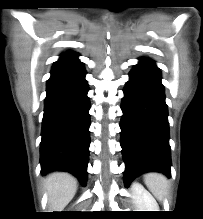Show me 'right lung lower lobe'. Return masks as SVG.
<instances>
[{
	"instance_id": "98d812e1",
	"label": "right lung lower lobe",
	"mask_w": 203,
	"mask_h": 219,
	"mask_svg": "<svg viewBox=\"0 0 203 219\" xmlns=\"http://www.w3.org/2000/svg\"><path fill=\"white\" fill-rule=\"evenodd\" d=\"M85 75L77 56L54 63L47 81L40 144L42 174L66 171L84 186L90 145V101Z\"/></svg>"
}]
</instances>
